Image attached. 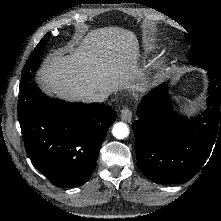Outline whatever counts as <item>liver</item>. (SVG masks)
<instances>
[{
  "instance_id": "6515ba94",
  "label": "liver",
  "mask_w": 221,
  "mask_h": 221,
  "mask_svg": "<svg viewBox=\"0 0 221 221\" xmlns=\"http://www.w3.org/2000/svg\"><path fill=\"white\" fill-rule=\"evenodd\" d=\"M69 54L50 55L37 80L49 94L76 101L87 93H112L140 76L135 34L119 27L95 29Z\"/></svg>"
}]
</instances>
